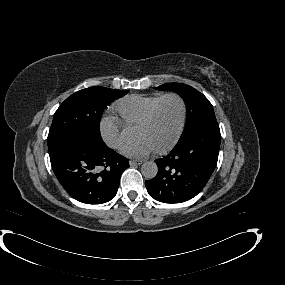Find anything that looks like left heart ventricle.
<instances>
[{
  "label": "left heart ventricle",
  "instance_id": "obj_1",
  "mask_svg": "<svg viewBox=\"0 0 285 285\" xmlns=\"http://www.w3.org/2000/svg\"><path fill=\"white\" fill-rule=\"evenodd\" d=\"M180 115V103L173 98L167 99L161 104L156 120L147 128H138L136 135L147 139L154 146L164 144L175 132Z\"/></svg>",
  "mask_w": 285,
  "mask_h": 285
}]
</instances>
